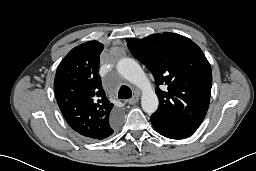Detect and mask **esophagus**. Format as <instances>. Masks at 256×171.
<instances>
[{
  "instance_id": "34e87169",
  "label": "esophagus",
  "mask_w": 256,
  "mask_h": 171,
  "mask_svg": "<svg viewBox=\"0 0 256 171\" xmlns=\"http://www.w3.org/2000/svg\"><path fill=\"white\" fill-rule=\"evenodd\" d=\"M138 101H139V96L135 95L133 98L129 99V100L127 101V103L130 104V105H134V104H136Z\"/></svg>"
}]
</instances>
